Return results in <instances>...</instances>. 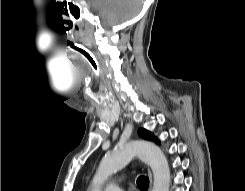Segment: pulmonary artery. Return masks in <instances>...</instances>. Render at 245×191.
<instances>
[{
    "instance_id": "obj_1",
    "label": "pulmonary artery",
    "mask_w": 245,
    "mask_h": 191,
    "mask_svg": "<svg viewBox=\"0 0 245 191\" xmlns=\"http://www.w3.org/2000/svg\"><path fill=\"white\" fill-rule=\"evenodd\" d=\"M119 182H120L119 179H116V180L109 182L105 186L104 191H123L122 188L118 184Z\"/></svg>"
}]
</instances>
